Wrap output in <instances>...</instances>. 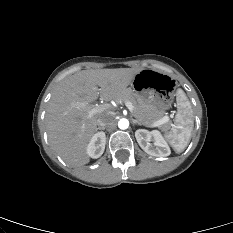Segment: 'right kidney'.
Listing matches in <instances>:
<instances>
[{
  "label": "right kidney",
  "instance_id": "ca27d5eb",
  "mask_svg": "<svg viewBox=\"0 0 233 233\" xmlns=\"http://www.w3.org/2000/svg\"><path fill=\"white\" fill-rule=\"evenodd\" d=\"M106 136L103 132L96 133L87 145V154L91 158H99L105 149Z\"/></svg>",
  "mask_w": 233,
  "mask_h": 233
}]
</instances>
